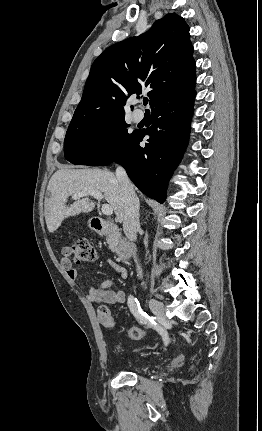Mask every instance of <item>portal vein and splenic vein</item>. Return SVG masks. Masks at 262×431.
Wrapping results in <instances>:
<instances>
[{
  "instance_id": "portal-vein-and-splenic-vein-1",
  "label": "portal vein and splenic vein",
  "mask_w": 262,
  "mask_h": 431,
  "mask_svg": "<svg viewBox=\"0 0 262 431\" xmlns=\"http://www.w3.org/2000/svg\"><path fill=\"white\" fill-rule=\"evenodd\" d=\"M88 195L93 196L97 200H101L103 198L102 193L99 191L78 192L73 195V198L77 199ZM101 210L102 213L107 216H110L113 213V208L108 204H103Z\"/></svg>"
}]
</instances>
